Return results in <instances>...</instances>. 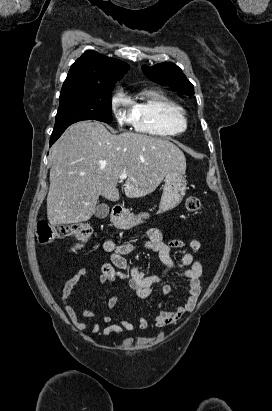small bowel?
Here are the masks:
<instances>
[{"label":"small bowel","instance_id":"1","mask_svg":"<svg viewBox=\"0 0 272 411\" xmlns=\"http://www.w3.org/2000/svg\"><path fill=\"white\" fill-rule=\"evenodd\" d=\"M146 235L147 240L142 244L132 242L117 244L112 240H107L103 243V249L107 253H110L111 261L102 266L99 283L107 284L125 281L132 290V295L141 299L150 297L156 289L160 291L162 296H165L171 289L170 285L166 282V277L177 267H180L183 269V277L188 280V297L186 302L172 310H164L162 303H159L157 307L158 312L152 317L151 321L141 313L134 302H129L124 305L122 309L136 308L139 314L137 324L127 320L117 319L112 315H103L102 322L106 324L103 328L98 322L91 321V319L96 317L95 312L79 304L82 317L88 320L81 321L67 299L80 280L89 273V269L84 267L77 270L65 283L61 296L64 309L76 329L86 330L91 334L102 333L105 337L112 334L122 335L136 329L146 330L150 323L156 328L163 327L176 322L185 313L195 309L202 293V280L204 277L202 262L195 255V252L201 248V242L195 239L188 242L182 240L166 242L162 231L154 227L149 228ZM140 248L158 254L160 261L165 266V270L161 275H145L139 270L135 263L129 262L126 259L127 255ZM173 249H178L182 252V256L177 262H175L171 256ZM122 299L123 296L121 295L110 297L107 301V308L109 310H117Z\"/></svg>","mask_w":272,"mask_h":411}]
</instances>
